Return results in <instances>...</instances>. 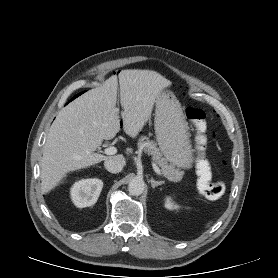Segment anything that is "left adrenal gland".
I'll use <instances>...</instances> for the list:
<instances>
[{
    "label": "left adrenal gland",
    "instance_id": "1",
    "mask_svg": "<svg viewBox=\"0 0 278 278\" xmlns=\"http://www.w3.org/2000/svg\"><path fill=\"white\" fill-rule=\"evenodd\" d=\"M150 182L153 189L164 184V181H155L153 178L150 180Z\"/></svg>",
    "mask_w": 278,
    "mask_h": 278
}]
</instances>
